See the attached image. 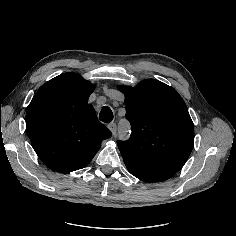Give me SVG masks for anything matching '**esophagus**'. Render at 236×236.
I'll return each mask as SVG.
<instances>
[{
	"label": "esophagus",
	"instance_id": "esophagus-1",
	"mask_svg": "<svg viewBox=\"0 0 236 236\" xmlns=\"http://www.w3.org/2000/svg\"><path fill=\"white\" fill-rule=\"evenodd\" d=\"M108 128L111 130L112 134L115 135L117 132V125L116 123L112 122L108 125Z\"/></svg>",
	"mask_w": 236,
	"mask_h": 236
}]
</instances>
